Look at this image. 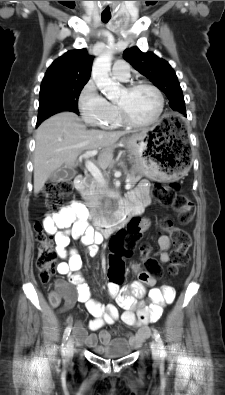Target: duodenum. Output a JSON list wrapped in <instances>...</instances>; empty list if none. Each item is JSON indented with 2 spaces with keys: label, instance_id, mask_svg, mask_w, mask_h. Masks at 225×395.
<instances>
[{
  "label": "duodenum",
  "instance_id": "obj_1",
  "mask_svg": "<svg viewBox=\"0 0 225 395\" xmlns=\"http://www.w3.org/2000/svg\"><path fill=\"white\" fill-rule=\"evenodd\" d=\"M75 187L79 191L86 188V179L80 174L75 178ZM133 215L129 209L121 208L108 218H97L95 228L100 236H110L117 227L124 226L128 223L130 216Z\"/></svg>",
  "mask_w": 225,
  "mask_h": 395
}]
</instances>
